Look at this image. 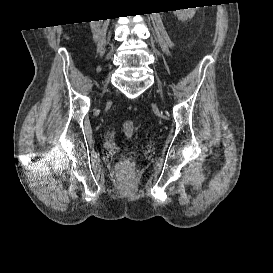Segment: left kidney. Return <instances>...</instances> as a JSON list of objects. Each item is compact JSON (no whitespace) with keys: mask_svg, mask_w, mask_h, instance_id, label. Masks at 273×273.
Wrapping results in <instances>:
<instances>
[{"mask_svg":"<svg viewBox=\"0 0 273 273\" xmlns=\"http://www.w3.org/2000/svg\"><path fill=\"white\" fill-rule=\"evenodd\" d=\"M174 15L181 21L192 19L195 15V8L173 10Z\"/></svg>","mask_w":273,"mask_h":273,"instance_id":"1","label":"left kidney"}]
</instances>
